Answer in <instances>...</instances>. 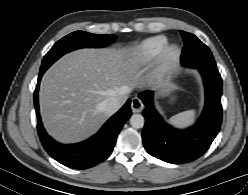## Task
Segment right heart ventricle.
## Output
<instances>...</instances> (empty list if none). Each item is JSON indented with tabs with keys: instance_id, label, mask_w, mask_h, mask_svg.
<instances>
[{
	"instance_id": "1",
	"label": "right heart ventricle",
	"mask_w": 248,
	"mask_h": 195,
	"mask_svg": "<svg viewBox=\"0 0 248 195\" xmlns=\"http://www.w3.org/2000/svg\"><path fill=\"white\" fill-rule=\"evenodd\" d=\"M167 44L168 38L165 35L147 38L129 50V61L134 66L147 65L160 56Z\"/></svg>"
}]
</instances>
